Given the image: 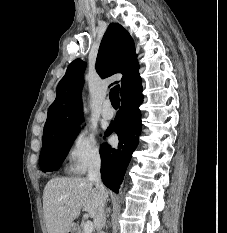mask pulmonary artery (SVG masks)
Returning <instances> with one entry per match:
<instances>
[{
	"label": "pulmonary artery",
	"mask_w": 227,
	"mask_h": 233,
	"mask_svg": "<svg viewBox=\"0 0 227 233\" xmlns=\"http://www.w3.org/2000/svg\"><path fill=\"white\" fill-rule=\"evenodd\" d=\"M101 115L104 119H107V120H110L114 117L115 113L111 106V102L109 100H105L102 111H101Z\"/></svg>",
	"instance_id": "1"
}]
</instances>
